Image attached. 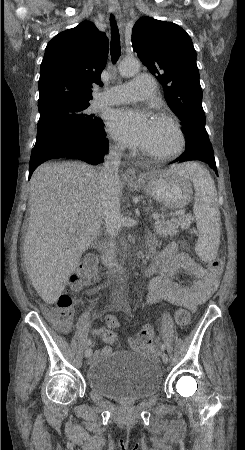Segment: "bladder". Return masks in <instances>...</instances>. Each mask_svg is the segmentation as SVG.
I'll use <instances>...</instances> for the list:
<instances>
[{"mask_svg":"<svg viewBox=\"0 0 245 450\" xmlns=\"http://www.w3.org/2000/svg\"><path fill=\"white\" fill-rule=\"evenodd\" d=\"M163 383V371L145 354L118 351L93 359L87 369V387L100 396L123 402L156 394Z\"/></svg>","mask_w":245,"mask_h":450,"instance_id":"obj_1","label":"bladder"}]
</instances>
